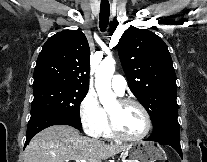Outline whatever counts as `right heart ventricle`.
I'll return each mask as SVG.
<instances>
[{
    "label": "right heart ventricle",
    "mask_w": 207,
    "mask_h": 162,
    "mask_svg": "<svg viewBox=\"0 0 207 162\" xmlns=\"http://www.w3.org/2000/svg\"><path fill=\"white\" fill-rule=\"evenodd\" d=\"M101 135L103 137H106V138H111L112 137V133H111V130H110L109 126H108V122H107V124H106V126H105V128H104V130H103Z\"/></svg>",
    "instance_id": "right-heart-ventricle-1"
}]
</instances>
